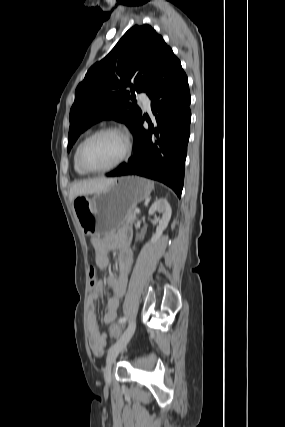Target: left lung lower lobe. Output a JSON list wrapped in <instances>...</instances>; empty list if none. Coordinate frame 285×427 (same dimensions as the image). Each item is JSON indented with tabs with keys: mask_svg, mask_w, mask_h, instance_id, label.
<instances>
[{
	"mask_svg": "<svg viewBox=\"0 0 285 427\" xmlns=\"http://www.w3.org/2000/svg\"><path fill=\"white\" fill-rule=\"evenodd\" d=\"M151 99L153 122L143 128L144 116L134 130V154L108 177L140 175L160 181L181 196L190 135V92L187 76L171 51L146 91Z\"/></svg>",
	"mask_w": 285,
	"mask_h": 427,
	"instance_id": "obj_1",
	"label": "left lung lower lobe"
}]
</instances>
